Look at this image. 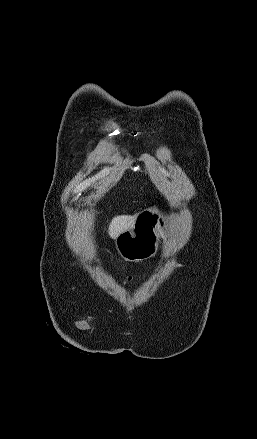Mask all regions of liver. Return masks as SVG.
I'll return each instance as SVG.
<instances>
[{
    "mask_svg": "<svg viewBox=\"0 0 257 439\" xmlns=\"http://www.w3.org/2000/svg\"><path fill=\"white\" fill-rule=\"evenodd\" d=\"M137 214L116 216L109 225V236L116 239L122 232L131 229L136 221Z\"/></svg>",
    "mask_w": 257,
    "mask_h": 439,
    "instance_id": "1",
    "label": "liver"
}]
</instances>
